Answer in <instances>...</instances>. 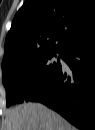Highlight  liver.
<instances>
[{
	"mask_svg": "<svg viewBox=\"0 0 95 130\" xmlns=\"http://www.w3.org/2000/svg\"><path fill=\"white\" fill-rule=\"evenodd\" d=\"M64 120L55 112L38 104L13 110L7 130H66Z\"/></svg>",
	"mask_w": 95,
	"mask_h": 130,
	"instance_id": "liver-1",
	"label": "liver"
}]
</instances>
